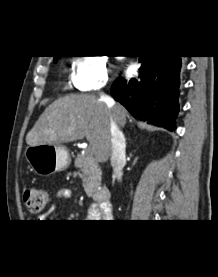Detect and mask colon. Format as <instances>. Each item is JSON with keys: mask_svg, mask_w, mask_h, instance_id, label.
Listing matches in <instances>:
<instances>
[{"mask_svg": "<svg viewBox=\"0 0 218 277\" xmlns=\"http://www.w3.org/2000/svg\"><path fill=\"white\" fill-rule=\"evenodd\" d=\"M50 200V193L44 187H31L23 193V203L29 212L38 214L42 212Z\"/></svg>", "mask_w": 218, "mask_h": 277, "instance_id": "5ec220e1", "label": "colon"}]
</instances>
